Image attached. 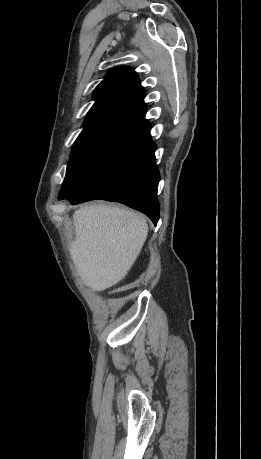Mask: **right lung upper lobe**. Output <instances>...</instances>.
Returning a JSON list of instances; mask_svg holds the SVG:
<instances>
[{
	"mask_svg": "<svg viewBox=\"0 0 261 459\" xmlns=\"http://www.w3.org/2000/svg\"><path fill=\"white\" fill-rule=\"evenodd\" d=\"M144 96L145 90L131 67L111 69L93 93L96 102L88 112L79 136L107 127L149 126L145 119Z\"/></svg>",
	"mask_w": 261,
	"mask_h": 459,
	"instance_id": "right-lung-upper-lobe-1",
	"label": "right lung upper lobe"
}]
</instances>
